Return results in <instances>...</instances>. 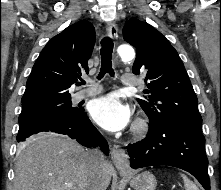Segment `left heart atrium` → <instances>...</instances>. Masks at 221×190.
I'll list each match as a JSON object with an SVG mask.
<instances>
[{
  "label": "left heart atrium",
  "mask_w": 221,
  "mask_h": 190,
  "mask_svg": "<svg viewBox=\"0 0 221 190\" xmlns=\"http://www.w3.org/2000/svg\"><path fill=\"white\" fill-rule=\"evenodd\" d=\"M90 115L99 126L111 132L122 130L130 120L129 108L114 95L94 100Z\"/></svg>",
  "instance_id": "left-heart-atrium-1"
}]
</instances>
